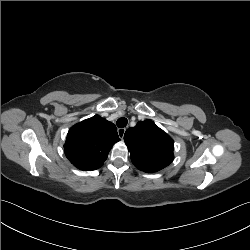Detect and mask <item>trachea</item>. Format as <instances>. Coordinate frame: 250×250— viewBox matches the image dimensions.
Wrapping results in <instances>:
<instances>
[{
	"mask_svg": "<svg viewBox=\"0 0 250 250\" xmlns=\"http://www.w3.org/2000/svg\"><path fill=\"white\" fill-rule=\"evenodd\" d=\"M127 123H128V120L126 119V118H119L118 120H117V122H116V124H117V126L119 127V128H123V127H125L126 125H127Z\"/></svg>",
	"mask_w": 250,
	"mask_h": 250,
	"instance_id": "3493384b",
	"label": "trachea"
}]
</instances>
